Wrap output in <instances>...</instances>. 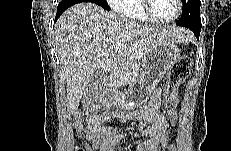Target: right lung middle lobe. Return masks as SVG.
<instances>
[{"instance_id":"1","label":"right lung middle lobe","mask_w":231,"mask_h":151,"mask_svg":"<svg viewBox=\"0 0 231 151\" xmlns=\"http://www.w3.org/2000/svg\"><path fill=\"white\" fill-rule=\"evenodd\" d=\"M88 2L95 3L106 10H110L106 0H87Z\"/></svg>"}]
</instances>
